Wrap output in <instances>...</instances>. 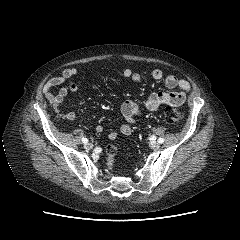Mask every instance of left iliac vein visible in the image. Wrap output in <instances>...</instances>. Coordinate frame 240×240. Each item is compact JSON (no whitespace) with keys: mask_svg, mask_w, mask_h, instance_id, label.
Instances as JSON below:
<instances>
[{"mask_svg":"<svg viewBox=\"0 0 240 240\" xmlns=\"http://www.w3.org/2000/svg\"><path fill=\"white\" fill-rule=\"evenodd\" d=\"M150 147H151L153 150H157V149H159L160 144H159L158 142H156V141H152V142L150 143Z\"/></svg>","mask_w":240,"mask_h":240,"instance_id":"1","label":"left iliac vein"}]
</instances>
